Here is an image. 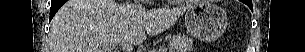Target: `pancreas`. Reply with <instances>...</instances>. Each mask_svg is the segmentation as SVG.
I'll list each match as a JSON object with an SVG mask.
<instances>
[{"label":"pancreas","mask_w":305,"mask_h":52,"mask_svg":"<svg viewBox=\"0 0 305 52\" xmlns=\"http://www.w3.org/2000/svg\"><path fill=\"white\" fill-rule=\"evenodd\" d=\"M170 52H191L193 39L188 36L175 35L169 40Z\"/></svg>","instance_id":"1"}]
</instances>
